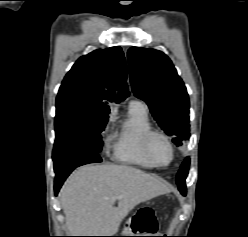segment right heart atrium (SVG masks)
<instances>
[{
    "mask_svg": "<svg viewBox=\"0 0 248 237\" xmlns=\"http://www.w3.org/2000/svg\"><path fill=\"white\" fill-rule=\"evenodd\" d=\"M109 122H110V117L108 118L107 123L105 124L104 128L102 129V134L103 135H105L107 133V131H108Z\"/></svg>",
    "mask_w": 248,
    "mask_h": 237,
    "instance_id": "right-heart-atrium-1",
    "label": "right heart atrium"
}]
</instances>
